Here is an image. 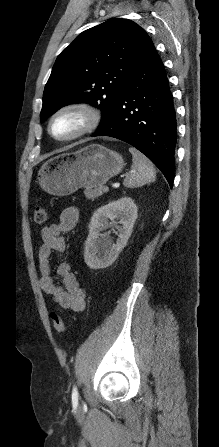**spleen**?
<instances>
[{
    "label": "spleen",
    "instance_id": "1",
    "mask_svg": "<svg viewBox=\"0 0 219 447\" xmlns=\"http://www.w3.org/2000/svg\"><path fill=\"white\" fill-rule=\"evenodd\" d=\"M132 154V171L124 179V186L135 188L155 181L156 172L152 162L135 148H129Z\"/></svg>",
    "mask_w": 219,
    "mask_h": 447
}]
</instances>
